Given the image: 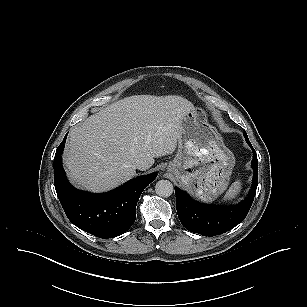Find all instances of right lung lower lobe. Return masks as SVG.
I'll list each match as a JSON object with an SVG mask.
<instances>
[{"mask_svg": "<svg viewBox=\"0 0 307 307\" xmlns=\"http://www.w3.org/2000/svg\"><path fill=\"white\" fill-rule=\"evenodd\" d=\"M66 136L56 150L54 184L68 219L81 230L99 238L125 233L135 222L141 193L156 178V173L134 178L107 193L77 190L68 182L62 166Z\"/></svg>", "mask_w": 307, "mask_h": 307, "instance_id": "right-lung-lower-lobe-1", "label": "right lung lower lobe"}]
</instances>
